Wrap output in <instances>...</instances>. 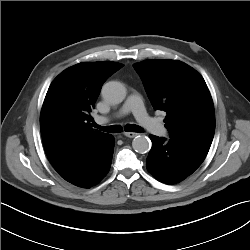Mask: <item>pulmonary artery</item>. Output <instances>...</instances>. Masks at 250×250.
Here are the masks:
<instances>
[{"instance_id": "1", "label": "pulmonary artery", "mask_w": 250, "mask_h": 250, "mask_svg": "<svg viewBox=\"0 0 250 250\" xmlns=\"http://www.w3.org/2000/svg\"><path fill=\"white\" fill-rule=\"evenodd\" d=\"M129 112H131L134 115L135 119L142 127L146 128L150 132L160 137L168 136L167 128L164 125H162L159 121L148 115L142 103L141 97L136 93L131 94L127 98L126 102L119 110L117 116H123ZM96 121L100 124H105L109 121V118L97 117Z\"/></svg>"}]
</instances>
